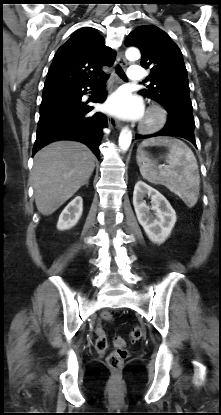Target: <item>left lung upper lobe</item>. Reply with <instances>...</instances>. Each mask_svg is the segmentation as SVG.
I'll use <instances>...</instances> for the list:
<instances>
[{
	"label": "left lung upper lobe",
	"instance_id": "left-lung-upper-lobe-1",
	"mask_svg": "<svg viewBox=\"0 0 221 415\" xmlns=\"http://www.w3.org/2000/svg\"><path fill=\"white\" fill-rule=\"evenodd\" d=\"M126 46L141 50V65L150 69V85L138 93L164 107L192 106L189 81L182 53L170 36L154 25L139 26L125 40Z\"/></svg>",
	"mask_w": 221,
	"mask_h": 415
}]
</instances>
